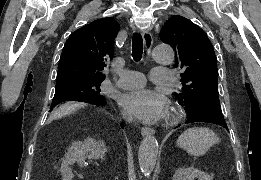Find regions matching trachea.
Segmentation results:
<instances>
[{
    "instance_id": "obj_1",
    "label": "trachea",
    "mask_w": 261,
    "mask_h": 180,
    "mask_svg": "<svg viewBox=\"0 0 261 180\" xmlns=\"http://www.w3.org/2000/svg\"><path fill=\"white\" fill-rule=\"evenodd\" d=\"M143 55V39L140 33L135 32L132 37V57L139 62Z\"/></svg>"
}]
</instances>
